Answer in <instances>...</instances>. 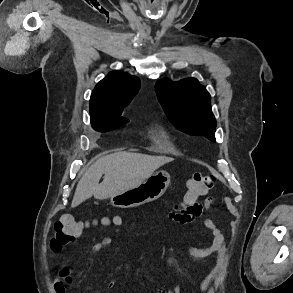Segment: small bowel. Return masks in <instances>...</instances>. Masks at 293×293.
<instances>
[{"instance_id":"c3829d8e","label":"small bowel","mask_w":293,"mask_h":293,"mask_svg":"<svg viewBox=\"0 0 293 293\" xmlns=\"http://www.w3.org/2000/svg\"><path fill=\"white\" fill-rule=\"evenodd\" d=\"M209 205H210V200H206L204 203L198 202L190 209H185L182 205H176L174 210L169 214V218L172 221H175L178 223H189L201 214L203 208H207L209 207ZM203 224L210 230L213 236L212 243L207 247H197L188 243L186 245L187 251L189 255L194 259H205L207 257L215 255L217 257V260L221 261L226 251L225 244H224L225 233L211 220H208V219L204 220ZM83 232L80 234V236L83 234ZM112 243H113L112 238L104 237L100 241L92 245L91 251L93 253L103 252L107 250L108 248H110ZM216 271H217V268H215L213 273L208 275L200 283L198 288L203 289L206 286H208V284L210 283V281L216 274ZM71 281H72V276H71L70 269L65 266L60 268L58 275L55 277L53 281V287H54L55 293H66V285L70 284ZM108 286L113 287L114 282L110 281ZM164 293H183V291L181 287L174 286L173 288L169 289L168 291H165Z\"/></svg>"}]
</instances>
